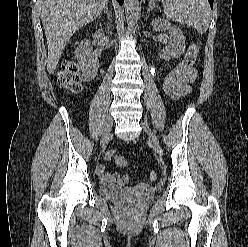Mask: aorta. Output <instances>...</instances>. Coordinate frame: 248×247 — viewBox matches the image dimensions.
Segmentation results:
<instances>
[{"label":"aorta","mask_w":248,"mask_h":247,"mask_svg":"<svg viewBox=\"0 0 248 247\" xmlns=\"http://www.w3.org/2000/svg\"><path fill=\"white\" fill-rule=\"evenodd\" d=\"M124 8L128 28L130 31H133L138 25L140 11L139 0H125Z\"/></svg>","instance_id":"1"}]
</instances>
